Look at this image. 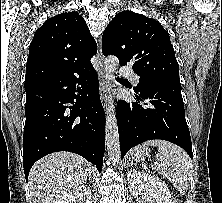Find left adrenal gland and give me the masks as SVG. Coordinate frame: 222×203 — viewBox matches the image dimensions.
Segmentation results:
<instances>
[{"mask_svg":"<svg viewBox=\"0 0 222 203\" xmlns=\"http://www.w3.org/2000/svg\"><path fill=\"white\" fill-rule=\"evenodd\" d=\"M129 165H133V162L131 159L128 160L127 166H129Z\"/></svg>","mask_w":222,"mask_h":203,"instance_id":"obj_1","label":"left adrenal gland"}]
</instances>
